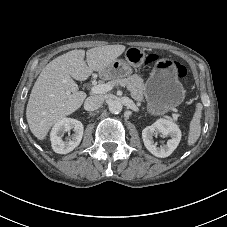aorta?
<instances>
[{
    "instance_id": "762f6f07",
    "label": "aorta",
    "mask_w": 227,
    "mask_h": 227,
    "mask_svg": "<svg viewBox=\"0 0 227 227\" xmlns=\"http://www.w3.org/2000/svg\"><path fill=\"white\" fill-rule=\"evenodd\" d=\"M108 108L112 114H118L122 111L123 105L119 100H112L109 102Z\"/></svg>"
}]
</instances>
